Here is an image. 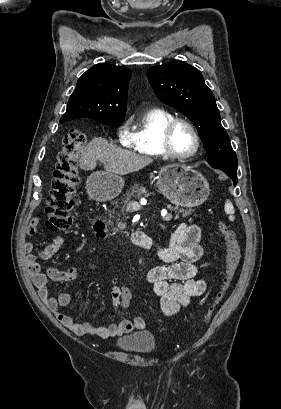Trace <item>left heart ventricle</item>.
<instances>
[{"instance_id": "1", "label": "left heart ventricle", "mask_w": 281, "mask_h": 409, "mask_svg": "<svg viewBox=\"0 0 281 409\" xmlns=\"http://www.w3.org/2000/svg\"><path fill=\"white\" fill-rule=\"evenodd\" d=\"M174 150L179 154H188L194 150V138L185 126H178L172 140Z\"/></svg>"}]
</instances>
